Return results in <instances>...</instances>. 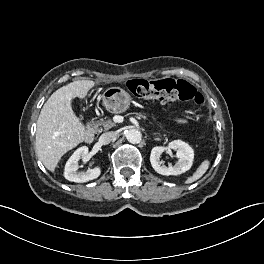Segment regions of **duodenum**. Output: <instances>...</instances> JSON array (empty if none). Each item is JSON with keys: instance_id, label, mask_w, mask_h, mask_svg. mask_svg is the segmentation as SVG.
Returning a JSON list of instances; mask_svg holds the SVG:
<instances>
[{"instance_id": "obj_1", "label": "duodenum", "mask_w": 264, "mask_h": 264, "mask_svg": "<svg viewBox=\"0 0 264 264\" xmlns=\"http://www.w3.org/2000/svg\"><path fill=\"white\" fill-rule=\"evenodd\" d=\"M94 138H95L94 131L92 129H88L85 133V141L87 143H92L94 141Z\"/></svg>"}]
</instances>
